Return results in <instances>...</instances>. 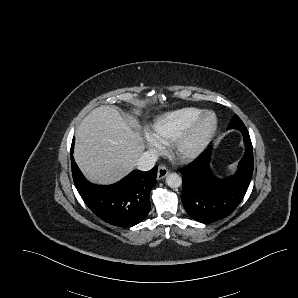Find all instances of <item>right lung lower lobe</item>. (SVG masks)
<instances>
[{"label":"right lung lower lobe","mask_w":298,"mask_h":298,"mask_svg":"<svg viewBox=\"0 0 298 298\" xmlns=\"http://www.w3.org/2000/svg\"><path fill=\"white\" fill-rule=\"evenodd\" d=\"M73 145V180L90 210L115 226L131 227L141 222L150 211V192L156 184L157 166L147 172L134 170L113 185L98 186L88 182L82 175L72 155Z\"/></svg>","instance_id":"right-lung-lower-lobe-1"}]
</instances>
